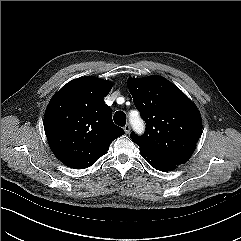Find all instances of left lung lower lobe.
<instances>
[{"instance_id":"1","label":"left lung lower lobe","mask_w":241,"mask_h":241,"mask_svg":"<svg viewBox=\"0 0 241 241\" xmlns=\"http://www.w3.org/2000/svg\"><path fill=\"white\" fill-rule=\"evenodd\" d=\"M142 157L144 159H146V161L155 169L160 170V171H170L175 169L178 165H175L171 162H167V161H163L160 160L156 157H153L147 153H144L142 151H140Z\"/></svg>"}]
</instances>
